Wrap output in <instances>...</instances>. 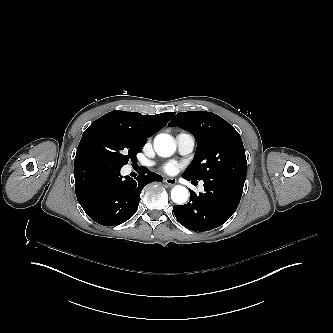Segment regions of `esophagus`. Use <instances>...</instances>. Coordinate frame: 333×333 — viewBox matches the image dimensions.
Returning <instances> with one entry per match:
<instances>
[{
  "label": "esophagus",
  "instance_id": "1",
  "mask_svg": "<svg viewBox=\"0 0 333 333\" xmlns=\"http://www.w3.org/2000/svg\"><path fill=\"white\" fill-rule=\"evenodd\" d=\"M164 182L166 184H168L169 186H174L177 183V179L176 178H166L164 180Z\"/></svg>",
  "mask_w": 333,
  "mask_h": 333
}]
</instances>
